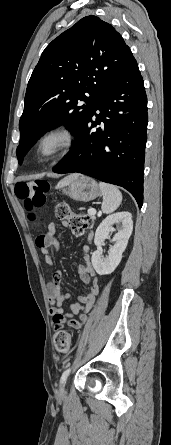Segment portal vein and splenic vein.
<instances>
[{
	"mask_svg": "<svg viewBox=\"0 0 171 445\" xmlns=\"http://www.w3.org/2000/svg\"><path fill=\"white\" fill-rule=\"evenodd\" d=\"M88 212H89L91 215H95V214H96V210H95L94 208L89 209Z\"/></svg>",
	"mask_w": 171,
	"mask_h": 445,
	"instance_id": "portal-vein-and-splenic-vein-1",
	"label": "portal vein and splenic vein"
}]
</instances>
